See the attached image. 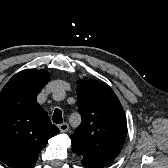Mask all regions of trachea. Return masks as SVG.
<instances>
[{
  "instance_id": "trachea-1",
  "label": "trachea",
  "mask_w": 168,
  "mask_h": 168,
  "mask_svg": "<svg viewBox=\"0 0 168 168\" xmlns=\"http://www.w3.org/2000/svg\"><path fill=\"white\" fill-rule=\"evenodd\" d=\"M53 122L56 124L63 123L62 112L60 109H55L54 114H53Z\"/></svg>"
}]
</instances>
